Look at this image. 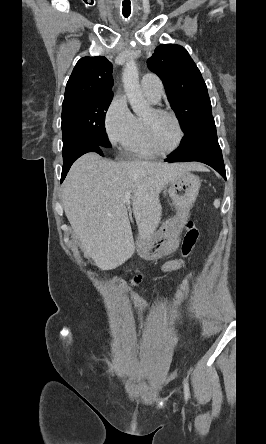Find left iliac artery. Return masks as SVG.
Returning a JSON list of instances; mask_svg holds the SVG:
<instances>
[{"label":"left iliac artery","instance_id":"44dca946","mask_svg":"<svg viewBox=\"0 0 266 444\" xmlns=\"http://www.w3.org/2000/svg\"><path fill=\"white\" fill-rule=\"evenodd\" d=\"M183 385H184V396H185V399L188 400L190 398V391H189V385H188V382L186 379H184Z\"/></svg>","mask_w":266,"mask_h":444}]
</instances>
